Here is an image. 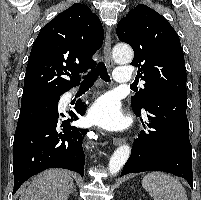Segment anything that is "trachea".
<instances>
[{
	"mask_svg": "<svg viewBox=\"0 0 201 200\" xmlns=\"http://www.w3.org/2000/svg\"><path fill=\"white\" fill-rule=\"evenodd\" d=\"M100 76L102 80L105 82L110 81V77L107 73V68L104 62H100L99 65L94 68L91 72L83 76V82L81 86H91L96 81V79Z\"/></svg>",
	"mask_w": 201,
	"mask_h": 200,
	"instance_id": "3493384b",
	"label": "trachea"
}]
</instances>
